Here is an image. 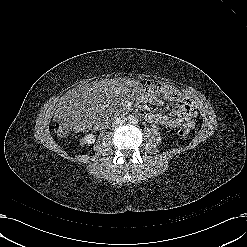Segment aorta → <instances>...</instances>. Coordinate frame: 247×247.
<instances>
[{"label": "aorta", "mask_w": 247, "mask_h": 247, "mask_svg": "<svg viewBox=\"0 0 247 247\" xmlns=\"http://www.w3.org/2000/svg\"><path fill=\"white\" fill-rule=\"evenodd\" d=\"M130 120H131V122H132L133 124H136L137 121H138L137 118H135V117H132Z\"/></svg>", "instance_id": "aorta-1"}]
</instances>
